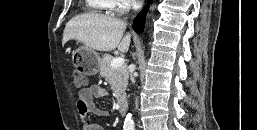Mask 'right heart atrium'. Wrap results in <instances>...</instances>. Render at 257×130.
Returning <instances> with one entry per match:
<instances>
[{
    "mask_svg": "<svg viewBox=\"0 0 257 130\" xmlns=\"http://www.w3.org/2000/svg\"><path fill=\"white\" fill-rule=\"evenodd\" d=\"M115 7L119 10H125L133 6L136 0H114Z\"/></svg>",
    "mask_w": 257,
    "mask_h": 130,
    "instance_id": "1",
    "label": "right heart atrium"
}]
</instances>
